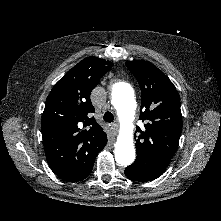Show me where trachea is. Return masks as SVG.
<instances>
[{
	"instance_id": "obj_1",
	"label": "trachea",
	"mask_w": 221,
	"mask_h": 221,
	"mask_svg": "<svg viewBox=\"0 0 221 221\" xmlns=\"http://www.w3.org/2000/svg\"><path fill=\"white\" fill-rule=\"evenodd\" d=\"M103 119L104 121L111 123L114 120V116L111 112L107 111L104 113Z\"/></svg>"
}]
</instances>
